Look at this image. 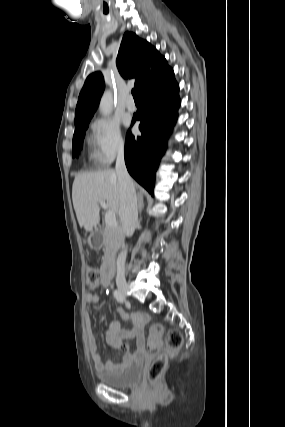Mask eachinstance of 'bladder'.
I'll return each mask as SVG.
<instances>
[{
    "mask_svg": "<svg viewBox=\"0 0 285 427\" xmlns=\"http://www.w3.org/2000/svg\"><path fill=\"white\" fill-rule=\"evenodd\" d=\"M142 375V363L135 362L120 371L101 372L100 380L113 388H126L140 381Z\"/></svg>",
    "mask_w": 285,
    "mask_h": 427,
    "instance_id": "bladder-1",
    "label": "bladder"
}]
</instances>
